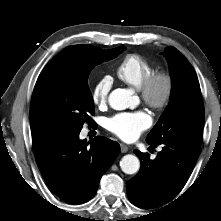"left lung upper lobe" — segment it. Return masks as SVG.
I'll list each match as a JSON object with an SVG mask.
<instances>
[{
    "instance_id": "5c2ea615",
    "label": "left lung upper lobe",
    "mask_w": 221,
    "mask_h": 221,
    "mask_svg": "<svg viewBox=\"0 0 221 221\" xmlns=\"http://www.w3.org/2000/svg\"><path fill=\"white\" fill-rule=\"evenodd\" d=\"M172 78L171 99L157 124L147 136L149 144L183 141L201 145L204 107L196 73L175 48H165Z\"/></svg>"
}]
</instances>
